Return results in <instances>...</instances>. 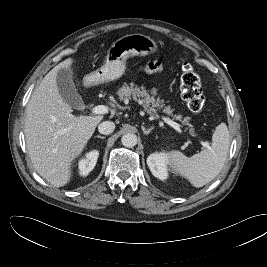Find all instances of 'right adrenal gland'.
<instances>
[{"label":"right adrenal gland","mask_w":267,"mask_h":267,"mask_svg":"<svg viewBox=\"0 0 267 267\" xmlns=\"http://www.w3.org/2000/svg\"><path fill=\"white\" fill-rule=\"evenodd\" d=\"M96 138L105 139V136L97 135Z\"/></svg>","instance_id":"right-adrenal-gland-1"}]
</instances>
